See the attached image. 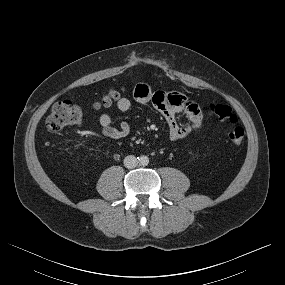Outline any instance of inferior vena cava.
Returning a JSON list of instances; mask_svg holds the SVG:
<instances>
[{
  "mask_svg": "<svg viewBox=\"0 0 285 285\" xmlns=\"http://www.w3.org/2000/svg\"><path fill=\"white\" fill-rule=\"evenodd\" d=\"M124 165L128 169H133L138 165V160L133 155L126 156L124 159Z\"/></svg>",
  "mask_w": 285,
  "mask_h": 285,
  "instance_id": "obj_1",
  "label": "inferior vena cava"
}]
</instances>
